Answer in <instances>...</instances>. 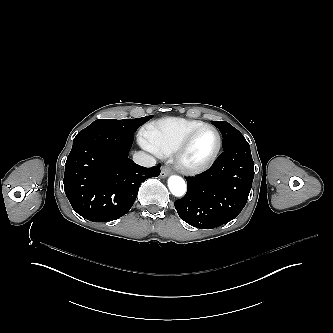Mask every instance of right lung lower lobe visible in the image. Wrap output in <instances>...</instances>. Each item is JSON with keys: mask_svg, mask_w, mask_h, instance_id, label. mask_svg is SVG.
Segmentation results:
<instances>
[{"mask_svg": "<svg viewBox=\"0 0 333 333\" xmlns=\"http://www.w3.org/2000/svg\"><path fill=\"white\" fill-rule=\"evenodd\" d=\"M134 137L102 129L80 131L67 157L64 189L73 209L92 222L113 221L134 204L140 184L160 174L128 158Z\"/></svg>", "mask_w": 333, "mask_h": 333, "instance_id": "1", "label": "right lung lower lobe"}]
</instances>
